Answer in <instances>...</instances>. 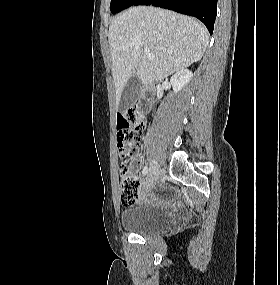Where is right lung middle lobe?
Listing matches in <instances>:
<instances>
[{"mask_svg":"<svg viewBox=\"0 0 280 285\" xmlns=\"http://www.w3.org/2000/svg\"><path fill=\"white\" fill-rule=\"evenodd\" d=\"M136 1L137 0H111L110 4L111 13L115 14L117 12H120L123 9L128 8L129 6L134 5Z\"/></svg>","mask_w":280,"mask_h":285,"instance_id":"obj_1","label":"right lung middle lobe"}]
</instances>
